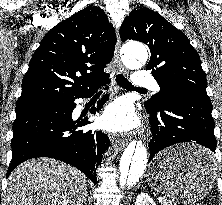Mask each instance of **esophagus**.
<instances>
[{
  "mask_svg": "<svg viewBox=\"0 0 222 205\" xmlns=\"http://www.w3.org/2000/svg\"><path fill=\"white\" fill-rule=\"evenodd\" d=\"M116 33H117V43H116V46H115L114 61H115L116 66H117V68L120 72L127 73L126 68L123 66V64L121 63V60H120V45H121V42H120V39H119L118 30L116 31ZM124 146H125V140L124 139L116 140V142L114 143V148H116L118 150H121L122 148H124Z\"/></svg>",
  "mask_w": 222,
  "mask_h": 205,
  "instance_id": "34e87169",
  "label": "esophagus"
}]
</instances>
